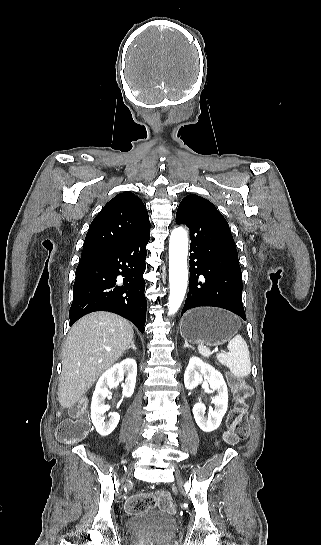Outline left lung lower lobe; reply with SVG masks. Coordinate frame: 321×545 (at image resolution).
I'll return each instance as SVG.
<instances>
[{
  "label": "left lung lower lobe",
  "instance_id": "left-lung-lower-lobe-1",
  "mask_svg": "<svg viewBox=\"0 0 321 545\" xmlns=\"http://www.w3.org/2000/svg\"><path fill=\"white\" fill-rule=\"evenodd\" d=\"M176 223L190 229L189 292L181 316L194 307L227 309L246 320L242 304V272L226 219L214 205L177 210Z\"/></svg>",
  "mask_w": 321,
  "mask_h": 545
}]
</instances>
